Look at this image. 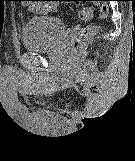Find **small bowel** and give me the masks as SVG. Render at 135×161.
Returning a JSON list of instances; mask_svg holds the SVG:
<instances>
[{
    "instance_id": "c3829d8e",
    "label": "small bowel",
    "mask_w": 135,
    "mask_h": 161,
    "mask_svg": "<svg viewBox=\"0 0 135 161\" xmlns=\"http://www.w3.org/2000/svg\"><path fill=\"white\" fill-rule=\"evenodd\" d=\"M31 3L32 1H27ZM30 10L32 11H40L43 13L51 12L55 9L54 4H50L49 2H44L42 4L36 5V4H28Z\"/></svg>"
}]
</instances>
